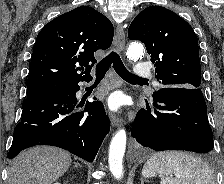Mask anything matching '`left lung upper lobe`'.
<instances>
[{
  "label": "left lung upper lobe",
  "instance_id": "obj_1",
  "mask_svg": "<svg viewBox=\"0 0 224 184\" xmlns=\"http://www.w3.org/2000/svg\"><path fill=\"white\" fill-rule=\"evenodd\" d=\"M128 37L145 44L163 87H200L198 39L176 13L161 6L147 7L132 21Z\"/></svg>",
  "mask_w": 224,
  "mask_h": 184
}]
</instances>
